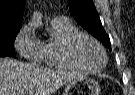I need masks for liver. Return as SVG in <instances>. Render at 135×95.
<instances>
[{
  "mask_svg": "<svg viewBox=\"0 0 135 95\" xmlns=\"http://www.w3.org/2000/svg\"><path fill=\"white\" fill-rule=\"evenodd\" d=\"M83 75L0 58V95H52Z\"/></svg>",
  "mask_w": 135,
  "mask_h": 95,
  "instance_id": "1",
  "label": "liver"
}]
</instances>
